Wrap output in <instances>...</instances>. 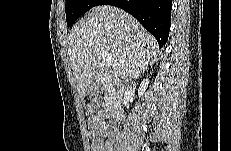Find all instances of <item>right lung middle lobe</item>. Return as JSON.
Returning a JSON list of instances; mask_svg holds the SVG:
<instances>
[{
	"label": "right lung middle lobe",
	"instance_id": "1",
	"mask_svg": "<svg viewBox=\"0 0 231 151\" xmlns=\"http://www.w3.org/2000/svg\"><path fill=\"white\" fill-rule=\"evenodd\" d=\"M102 2L103 0H66L67 26H71L81 15Z\"/></svg>",
	"mask_w": 231,
	"mask_h": 151
}]
</instances>
